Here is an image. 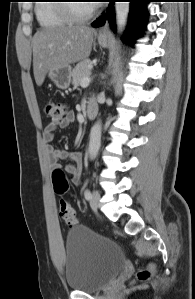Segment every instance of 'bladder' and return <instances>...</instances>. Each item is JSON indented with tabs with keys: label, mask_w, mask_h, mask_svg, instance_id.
Returning <instances> with one entry per match:
<instances>
[{
	"label": "bladder",
	"mask_w": 195,
	"mask_h": 299,
	"mask_svg": "<svg viewBox=\"0 0 195 299\" xmlns=\"http://www.w3.org/2000/svg\"><path fill=\"white\" fill-rule=\"evenodd\" d=\"M65 280L79 292L93 293L115 278L125 264L117 244L84 226L69 231L65 242Z\"/></svg>",
	"instance_id": "31cf9c89"
}]
</instances>
